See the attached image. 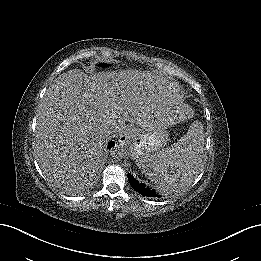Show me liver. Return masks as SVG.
<instances>
[{"label": "liver", "mask_w": 261, "mask_h": 261, "mask_svg": "<svg viewBox=\"0 0 261 261\" xmlns=\"http://www.w3.org/2000/svg\"><path fill=\"white\" fill-rule=\"evenodd\" d=\"M118 82L109 72L88 76L75 69L47 90L39 106L35 153L40 168L55 182L82 179L97 167L106 130L163 116L162 100L138 101Z\"/></svg>", "instance_id": "6515ba94"}]
</instances>
